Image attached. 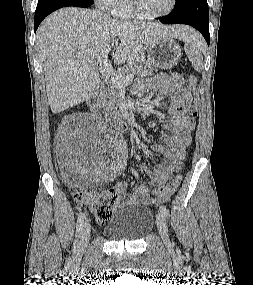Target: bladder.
I'll use <instances>...</instances> for the list:
<instances>
[{
	"label": "bladder",
	"instance_id": "obj_1",
	"mask_svg": "<svg viewBox=\"0 0 253 285\" xmlns=\"http://www.w3.org/2000/svg\"><path fill=\"white\" fill-rule=\"evenodd\" d=\"M154 225L150 208L134 203H123L104 224L103 233L111 240L133 242L143 239Z\"/></svg>",
	"mask_w": 253,
	"mask_h": 285
}]
</instances>
